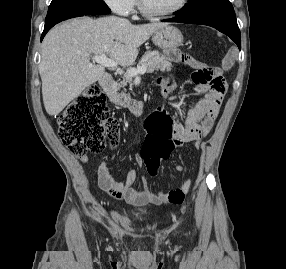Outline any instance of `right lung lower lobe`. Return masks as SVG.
Listing matches in <instances>:
<instances>
[{"label": "right lung lower lobe", "instance_id": "98d812e1", "mask_svg": "<svg viewBox=\"0 0 286 269\" xmlns=\"http://www.w3.org/2000/svg\"><path fill=\"white\" fill-rule=\"evenodd\" d=\"M54 25H55V24H54ZM54 25H50V26H45V27H44V31H43V33H42V35H41V41H42V39L44 38L45 34H46Z\"/></svg>", "mask_w": 286, "mask_h": 269}]
</instances>
